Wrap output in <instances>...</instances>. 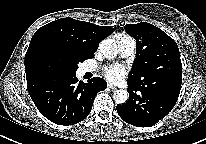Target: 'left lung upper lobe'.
<instances>
[{
	"label": "left lung upper lobe",
	"mask_w": 206,
	"mask_h": 144,
	"mask_svg": "<svg viewBox=\"0 0 206 144\" xmlns=\"http://www.w3.org/2000/svg\"><path fill=\"white\" fill-rule=\"evenodd\" d=\"M125 31L137 41L136 58L128 81L148 87L181 86L180 53L171 37L145 22L127 24Z\"/></svg>",
	"instance_id": "5c2ea615"
}]
</instances>
